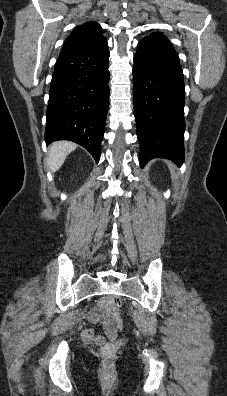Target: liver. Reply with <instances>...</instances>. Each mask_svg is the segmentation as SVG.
Returning a JSON list of instances; mask_svg holds the SVG:
<instances>
[{
    "mask_svg": "<svg viewBox=\"0 0 227 396\" xmlns=\"http://www.w3.org/2000/svg\"><path fill=\"white\" fill-rule=\"evenodd\" d=\"M77 145L70 141L54 142L49 147L48 166L56 172L64 163L66 156L76 149Z\"/></svg>",
    "mask_w": 227,
    "mask_h": 396,
    "instance_id": "6515ba94",
    "label": "liver"
}]
</instances>
